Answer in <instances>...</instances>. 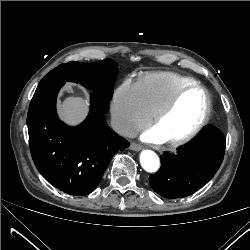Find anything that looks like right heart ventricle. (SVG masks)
Segmentation results:
<instances>
[{"label": "right heart ventricle", "instance_id": "1", "mask_svg": "<svg viewBox=\"0 0 250 250\" xmlns=\"http://www.w3.org/2000/svg\"><path fill=\"white\" fill-rule=\"evenodd\" d=\"M194 79L174 72H154L142 76L136 82L142 101L151 117L170 99L181 86Z\"/></svg>", "mask_w": 250, "mask_h": 250}]
</instances>
